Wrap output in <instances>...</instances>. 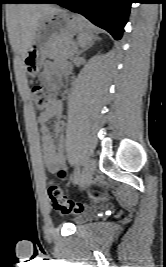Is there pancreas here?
Listing matches in <instances>:
<instances>
[{"label":"pancreas","mask_w":166,"mask_h":267,"mask_svg":"<svg viewBox=\"0 0 166 267\" xmlns=\"http://www.w3.org/2000/svg\"><path fill=\"white\" fill-rule=\"evenodd\" d=\"M75 50L70 45L68 37L59 38L51 44L48 56L51 59H68L73 57Z\"/></svg>","instance_id":"pancreas-1"}]
</instances>
